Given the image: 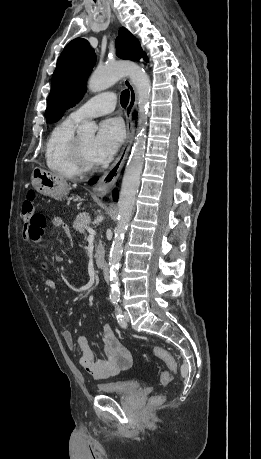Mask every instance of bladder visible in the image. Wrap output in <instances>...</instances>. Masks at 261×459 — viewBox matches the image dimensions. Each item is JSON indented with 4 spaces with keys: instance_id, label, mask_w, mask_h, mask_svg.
<instances>
[{
    "instance_id": "bladder-1",
    "label": "bladder",
    "mask_w": 261,
    "mask_h": 459,
    "mask_svg": "<svg viewBox=\"0 0 261 459\" xmlns=\"http://www.w3.org/2000/svg\"><path fill=\"white\" fill-rule=\"evenodd\" d=\"M140 387V382L136 380H117L99 383L97 384L96 389L98 392L103 394L127 395L137 392Z\"/></svg>"
}]
</instances>
